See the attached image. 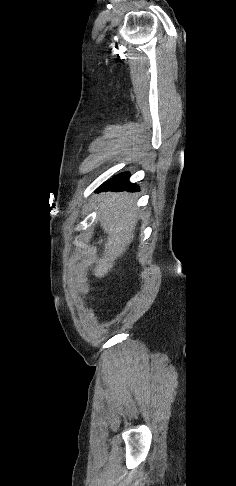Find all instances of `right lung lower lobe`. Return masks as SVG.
<instances>
[{
	"label": "right lung lower lobe",
	"instance_id": "98d812e1",
	"mask_svg": "<svg viewBox=\"0 0 236 486\" xmlns=\"http://www.w3.org/2000/svg\"><path fill=\"white\" fill-rule=\"evenodd\" d=\"M130 174L128 172L119 174L112 179L106 181L98 189L97 193L101 191H138V186L129 182Z\"/></svg>",
	"mask_w": 236,
	"mask_h": 486
}]
</instances>
